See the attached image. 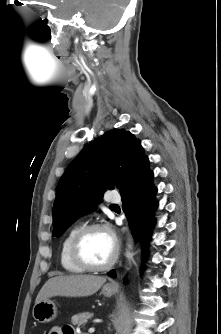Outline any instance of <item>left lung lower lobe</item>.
I'll list each match as a JSON object with an SVG mask.
<instances>
[{
  "mask_svg": "<svg viewBox=\"0 0 221 334\" xmlns=\"http://www.w3.org/2000/svg\"><path fill=\"white\" fill-rule=\"evenodd\" d=\"M153 177L148 163L122 192L123 210L128 214L133 236L139 235L142 241L143 256L154 224L153 211L157 207L154 201L157 188L153 184ZM109 276L115 277V271H110Z\"/></svg>",
  "mask_w": 221,
  "mask_h": 334,
  "instance_id": "left-lung-lower-lobe-1",
  "label": "left lung lower lobe"
}]
</instances>
